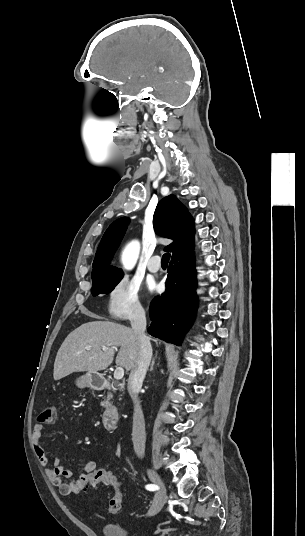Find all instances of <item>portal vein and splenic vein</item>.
I'll return each mask as SVG.
<instances>
[{
    "label": "portal vein and splenic vein",
    "mask_w": 305,
    "mask_h": 536,
    "mask_svg": "<svg viewBox=\"0 0 305 536\" xmlns=\"http://www.w3.org/2000/svg\"><path fill=\"white\" fill-rule=\"evenodd\" d=\"M84 350H91V348H88V346H86V348H84ZM103 352H106V350H108V348H102ZM124 376V370L123 368H116L115 372H114V378L115 380H122Z\"/></svg>",
    "instance_id": "1"
}]
</instances>
